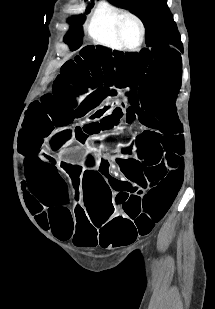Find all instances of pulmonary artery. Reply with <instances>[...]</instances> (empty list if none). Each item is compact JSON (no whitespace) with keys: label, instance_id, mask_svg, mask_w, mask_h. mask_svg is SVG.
Wrapping results in <instances>:
<instances>
[{"label":"pulmonary artery","instance_id":"pulmonary-artery-1","mask_svg":"<svg viewBox=\"0 0 215 309\" xmlns=\"http://www.w3.org/2000/svg\"><path fill=\"white\" fill-rule=\"evenodd\" d=\"M106 6H109V3H106ZM101 9H104V6H101ZM98 14H101V11H98Z\"/></svg>","mask_w":215,"mask_h":309}]
</instances>
